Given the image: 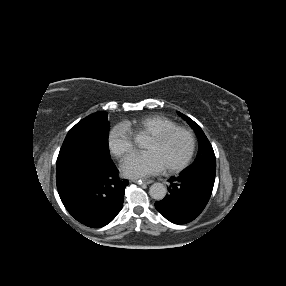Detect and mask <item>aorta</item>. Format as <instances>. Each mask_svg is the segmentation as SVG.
<instances>
[{"mask_svg": "<svg viewBox=\"0 0 286 286\" xmlns=\"http://www.w3.org/2000/svg\"><path fill=\"white\" fill-rule=\"evenodd\" d=\"M167 188L162 183H154L149 188L150 196L155 200H162L166 196Z\"/></svg>", "mask_w": 286, "mask_h": 286, "instance_id": "1", "label": "aorta"}]
</instances>
